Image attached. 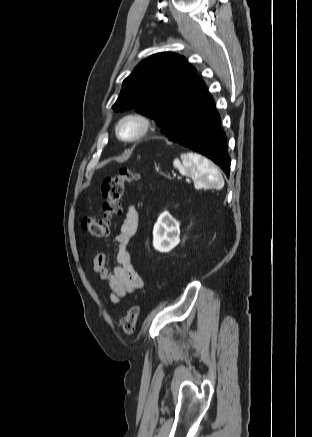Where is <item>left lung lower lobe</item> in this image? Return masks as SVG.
Returning <instances> with one entry per match:
<instances>
[{
  "label": "left lung lower lobe",
  "instance_id": "left-lung-lower-lobe-1",
  "mask_svg": "<svg viewBox=\"0 0 312 437\" xmlns=\"http://www.w3.org/2000/svg\"><path fill=\"white\" fill-rule=\"evenodd\" d=\"M221 120L210 95L203 106L170 141L188 147L219 165L229 175L230 158Z\"/></svg>",
  "mask_w": 312,
  "mask_h": 437
}]
</instances>
